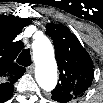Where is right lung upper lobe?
<instances>
[{
    "label": "right lung upper lobe",
    "mask_w": 103,
    "mask_h": 103,
    "mask_svg": "<svg viewBox=\"0 0 103 103\" xmlns=\"http://www.w3.org/2000/svg\"><path fill=\"white\" fill-rule=\"evenodd\" d=\"M29 18L0 16V94L10 97L15 81L20 78L25 68L18 66L15 59L23 48L22 42H14L22 29L31 24Z\"/></svg>",
    "instance_id": "cb5924a9"
}]
</instances>
